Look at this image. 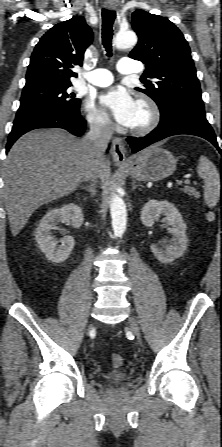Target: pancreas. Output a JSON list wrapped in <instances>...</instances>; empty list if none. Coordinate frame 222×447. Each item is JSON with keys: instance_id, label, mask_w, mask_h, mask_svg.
Listing matches in <instances>:
<instances>
[{"instance_id": "1", "label": "pancreas", "mask_w": 222, "mask_h": 447, "mask_svg": "<svg viewBox=\"0 0 222 447\" xmlns=\"http://www.w3.org/2000/svg\"><path fill=\"white\" fill-rule=\"evenodd\" d=\"M183 192L190 195V196H194L195 198H199L200 197V193L198 191H196V189H194L193 187H189L186 186L183 189Z\"/></svg>"}]
</instances>
